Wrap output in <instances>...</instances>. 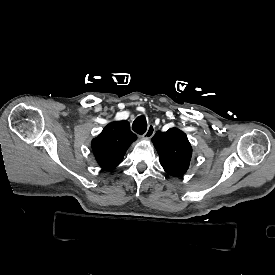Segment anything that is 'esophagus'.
<instances>
[{"mask_svg": "<svg viewBox=\"0 0 275 275\" xmlns=\"http://www.w3.org/2000/svg\"><path fill=\"white\" fill-rule=\"evenodd\" d=\"M154 133H155V126L153 124H150L148 126L146 133L143 135V137L145 139H150L153 137Z\"/></svg>", "mask_w": 275, "mask_h": 275, "instance_id": "esophagus-1", "label": "esophagus"}]
</instances>
